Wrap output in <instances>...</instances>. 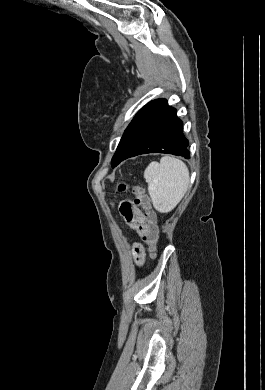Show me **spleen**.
Masks as SVG:
<instances>
[{"instance_id": "obj_1", "label": "spleen", "mask_w": 265, "mask_h": 390, "mask_svg": "<svg viewBox=\"0 0 265 390\" xmlns=\"http://www.w3.org/2000/svg\"><path fill=\"white\" fill-rule=\"evenodd\" d=\"M154 208L160 213L172 211L189 185V170L184 162L164 156L160 163L151 162L144 171Z\"/></svg>"}]
</instances>
